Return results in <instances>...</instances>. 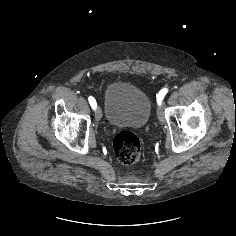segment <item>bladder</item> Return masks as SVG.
I'll return each instance as SVG.
<instances>
[{
    "label": "bladder",
    "mask_w": 236,
    "mask_h": 236,
    "mask_svg": "<svg viewBox=\"0 0 236 236\" xmlns=\"http://www.w3.org/2000/svg\"><path fill=\"white\" fill-rule=\"evenodd\" d=\"M103 112L112 126L139 128L150 118L151 102L140 89L127 82L117 81L106 89Z\"/></svg>",
    "instance_id": "obj_1"
}]
</instances>
